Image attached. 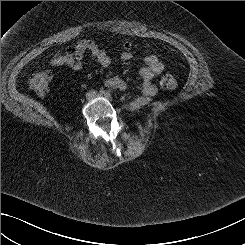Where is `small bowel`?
<instances>
[{
	"instance_id": "small-bowel-1",
	"label": "small bowel",
	"mask_w": 245,
	"mask_h": 245,
	"mask_svg": "<svg viewBox=\"0 0 245 245\" xmlns=\"http://www.w3.org/2000/svg\"><path fill=\"white\" fill-rule=\"evenodd\" d=\"M89 54L90 60L102 67H108L112 63V59L108 52L99 47L90 40H81L71 52L55 54L50 60L52 66L67 65L75 71L82 70L84 67V54ZM131 51H124L120 54L119 59L122 62L130 61L133 58ZM164 70L163 63L154 55H148L144 58V66L139 70L140 82L138 88L146 97H153L157 94V86L153 83L155 77L159 76ZM105 85L111 89L125 91L128 84L120 77L113 76L106 80Z\"/></svg>"
}]
</instances>
